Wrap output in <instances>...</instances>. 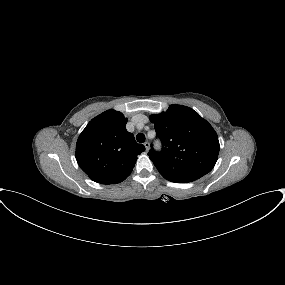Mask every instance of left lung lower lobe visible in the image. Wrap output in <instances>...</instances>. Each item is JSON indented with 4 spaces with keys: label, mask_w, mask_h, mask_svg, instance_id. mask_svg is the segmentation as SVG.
<instances>
[{
    "label": "left lung lower lobe",
    "mask_w": 285,
    "mask_h": 285,
    "mask_svg": "<svg viewBox=\"0 0 285 285\" xmlns=\"http://www.w3.org/2000/svg\"><path fill=\"white\" fill-rule=\"evenodd\" d=\"M176 183H185V182H176Z\"/></svg>",
    "instance_id": "0a47b994"
}]
</instances>
